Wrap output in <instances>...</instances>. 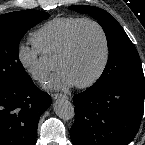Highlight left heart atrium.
Here are the masks:
<instances>
[{
    "label": "left heart atrium",
    "mask_w": 145,
    "mask_h": 145,
    "mask_svg": "<svg viewBox=\"0 0 145 145\" xmlns=\"http://www.w3.org/2000/svg\"><path fill=\"white\" fill-rule=\"evenodd\" d=\"M74 85V81L66 72L57 70V72L49 79L47 88L54 90H65Z\"/></svg>",
    "instance_id": "left-heart-atrium-1"
}]
</instances>
